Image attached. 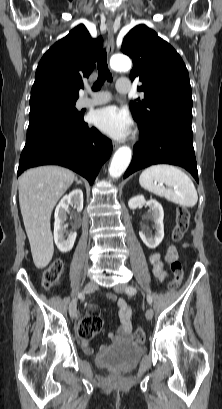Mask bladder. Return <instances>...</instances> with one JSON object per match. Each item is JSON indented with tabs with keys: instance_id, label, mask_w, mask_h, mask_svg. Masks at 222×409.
I'll use <instances>...</instances> for the list:
<instances>
[{
	"instance_id": "31cf9c89",
	"label": "bladder",
	"mask_w": 222,
	"mask_h": 409,
	"mask_svg": "<svg viewBox=\"0 0 222 409\" xmlns=\"http://www.w3.org/2000/svg\"><path fill=\"white\" fill-rule=\"evenodd\" d=\"M144 354L143 346L134 342H123L97 354L94 362L102 369L117 368L121 371H129Z\"/></svg>"
}]
</instances>
